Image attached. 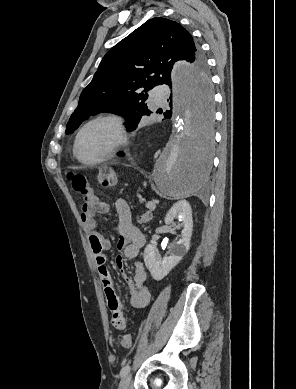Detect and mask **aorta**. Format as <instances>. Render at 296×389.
Listing matches in <instances>:
<instances>
[{"label": "aorta", "mask_w": 296, "mask_h": 389, "mask_svg": "<svg viewBox=\"0 0 296 389\" xmlns=\"http://www.w3.org/2000/svg\"><path fill=\"white\" fill-rule=\"evenodd\" d=\"M210 72L185 61L172 73V105L175 134L154 169V180L163 194L186 197L202 189L214 151V104Z\"/></svg>", "instance_id": "1"}]
</instances>
